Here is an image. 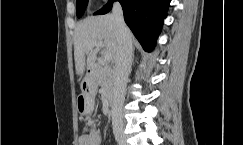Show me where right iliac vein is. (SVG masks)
I'll return each mask as SVG.
<instances>
[{"instance_id": "right-iliac-vein-1", "label": "right iliac vein", "mask_w": 243, "mask_h": 145, "mask_svg": "<svg viewBox=\"0 0 243 145\" xmlns=\"http://www.w3.org/2000/svg\"><path fill=\"white\" fill-rule=\"evenodd\" d=\"M116 140L119 145H128L124 134H117Z\"/></svg>"}]
</instances>
